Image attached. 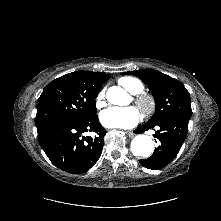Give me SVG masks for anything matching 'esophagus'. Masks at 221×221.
<instances>
[{"label": "esophagus", "instance_id": "esophagus-1", "mask_svg": "<svg viewBox=\"0 0 221 221\" xmlns=\"http://www.w3.org/2000/svg\"><path fill=\"white\" fill-rule=\"evenodd\" d=\"M128 135H129V137H133L135 134L133 133V131H127L126 132Z\"/></svg>", "mask_w": 221, "mask_h": 221}]
</instances>
